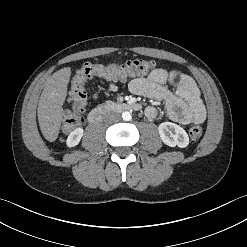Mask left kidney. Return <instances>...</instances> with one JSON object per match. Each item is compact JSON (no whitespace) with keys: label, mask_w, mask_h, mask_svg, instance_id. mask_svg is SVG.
Segmentation results:
<instances>
[{"label":"left kidney","mask_w":247,"mask_h":247,"mask_svg":"<svg viewBox=\"0 0 247 247\" xmlns=\"http://www.w3.org/2000/svg\"><path fill=\"white\" fill-rule=\"evenodd\" d=\"M158 131L163 143L170 147L185 148L189 144L188 134L175 123L163 122L159 125Z\"/></svg>","instance_id":"left-kidney-1"}]
</instances>
